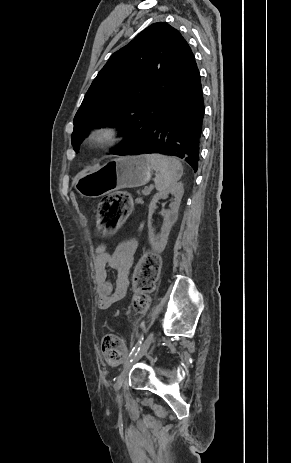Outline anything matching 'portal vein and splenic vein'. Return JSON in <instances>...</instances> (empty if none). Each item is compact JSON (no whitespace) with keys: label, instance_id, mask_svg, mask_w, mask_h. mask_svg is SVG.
I'll return each instance as SVG.
<instances>
[{"label":"portal vein and splenic vein","instance_id":"obj_1","mask_svg":"<svg viewBox=\"0 0 291 463\" xmlns=\"http://www.w3.org/2000/svg\"><path fill=\"white\" fill-rule=\"evenodd\" d=\"M150 190H151V187H149L148 189L146 190H143V194L144 195H148L150 193Z\"/></svg>","mask_w":291,"mask_h":463}]
</instances>
